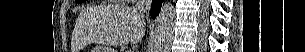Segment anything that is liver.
Returning <instances> with one entry per match:
<instances>
[{
    "instance_id": "liver-1",
    "label": "liver",
    "mask_w": 305,
    "mask_h": 52,
    "mask_svg": "<svg viewBox=\"0 0 305 52\" xmlns=\"http://www.w3.org/2000/svg\"><path fill=\"white\" fill-rule=\"evenodd\" d=\"M84 38L106 45L138 43L145 34L144 16L124 5L91 8L80 16Z\"/></svg>"
}]
</instances>
